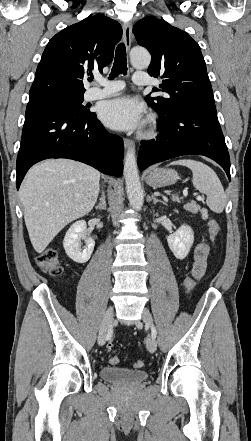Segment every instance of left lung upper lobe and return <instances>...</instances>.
<instances>
[{
    "label": "left lung upper lobe",
    "mask_w": 251,
    "mask_h": 441,
    "mask_svg": "<svg viewBox=\"0 0 251 441\" xmlns=\"http://www.w3.org/2000/svg\"><path fill=\"white\" fill-rule=\"evenodd\" d=\"M133 32L138 44L151 53L148 73L163 79L159 87L167 93V97L148 95L145 98L160 118L184 107L215 106L206 64L194 39L185 31L155 17L138 21ZM153 91L159 89L154 88Z\"/></svg>",
    "instance_id": "left-lung-upper-lobe-1"
}]
</instances>
